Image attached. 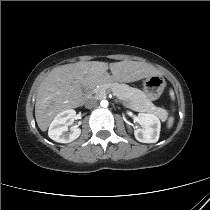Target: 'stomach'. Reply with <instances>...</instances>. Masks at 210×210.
<instances>
[{
  "label": "stomach",
  "mask_w": 210,
  "mask_h": 210,
  "mask_svg": "<svg viewBox=\"0 0 210 210\" xmlns=\"http://www.w3.org/2000/svg\"><path fill=\"white\" fill-rule=\"evenodd\" d=\"M166 87L165 79L160 75H153L143 81L144 93L149 100L158 99Z\"/></svg>",
  "instance_id": "obj_1"
}]
</instances>
